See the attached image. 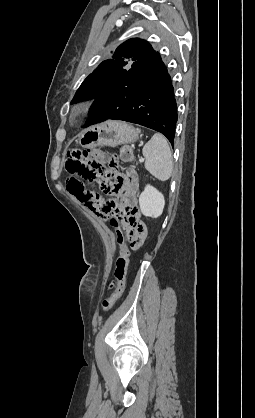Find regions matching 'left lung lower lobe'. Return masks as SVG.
Instances as JSON below:
<instances>
[{"label":"left lung lower lobe","instance_id":"1","mask_svg":"<svg viewBox=\"0 0 255 418\" xmlns=\"http://www.w3.org/2000/svg\"><path fill=\"white\" fill-rule=\"evenodd\" d=\"M177 117L171 77L155 52L95 99L85 126L105 120L132 122L162 133L173 146Z\"/></svg>","mask_w":255,"mask_h":418}]
</instances>
